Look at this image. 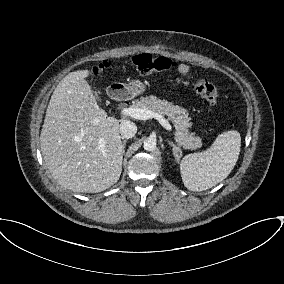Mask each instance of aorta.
<instances>
[{
	"label": "aorta",
	"mask_w": 284,
	"mask_h": 284,
	"mask_svg": "<svg viewBox=\"0 0 284 284\" xmlns=\"http://www.w3.org/2000/svg\"><path fill=\"white\" fill-rule=\"evenodd\" d=\"M143 148L146 151H154L156 149V140L154 138H147L143 143Z\"/></svg>",
	"instance_id": "obj_1"
}]
</instances>
